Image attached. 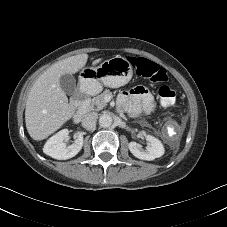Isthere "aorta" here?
I'll use <instances>...</instances> for the list:
<instances>
[{
  "label": "aorta",
  "mask_w": 227,
  "mask_h": 227,
  "mask_svg": "<svg viewBox=\"0 0 227 227\" xmlns=\"http://www.w3.org/2000/svg\"><path fill=\"white\" fill-rule=\"evenodd\" d=\"M112 124V117L109 114H102L99 118V125L103 128L110 127Z\"/></svg>",
  "instance_id": "aorta-1"
}]
</instances>
